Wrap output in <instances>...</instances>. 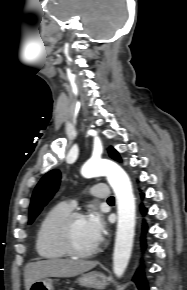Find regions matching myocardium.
<instances>
[{
	"label": "myocardium",
	"mask_w": 187,
	"mask_h": 290,
	"mask_svg": "<svg viewBox=\"0 0 187 290\" xmlns=\"http://www.w3.org/2000/svg\"><path fill=\"white\" fill-rule=\"evenodd\" d=\"M82 218H85V214L83 212L71 211L58 222L55 229L56 239L60 248L68 256L75 258L90 257L96 254L100 248L99 244L88 250H80L75 246L73 242L72 229L74 223Z\"/></svg>",
	"instance_id": "1"
}]
</instances>
